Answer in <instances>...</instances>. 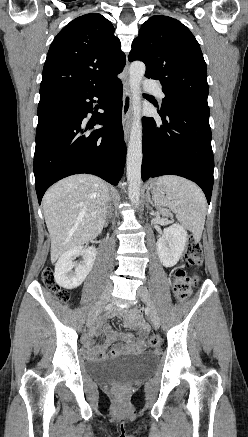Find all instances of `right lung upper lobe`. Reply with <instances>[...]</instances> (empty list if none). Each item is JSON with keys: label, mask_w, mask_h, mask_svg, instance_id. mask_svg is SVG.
Masks as SVG:
<instances>
[{"label": "right lung upper lobe", "mask_w": 248, "mask_h": 437, "mask_svg": "<svg viewBox=\"0 0 248 437\" xmlns=\"http://www.w3.org/2000/svg\"><path fill=\"white\" fill-rule=\"evenodd\" d=\"M114 31L100 14L80 16L65 26L48 51L40 94L90 90L114 80L125 66Z\"/></svg>", "instance_id": "cb5924a9"}]
</instances>
